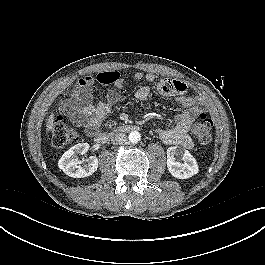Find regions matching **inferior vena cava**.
I'll list each match as a JSON object with an SVG mask.
<instances>
[{
    "mask_svg": "<svg viewBox=\"0 0 265 265\" xmlns=\"http://www.w3.org/2000/svg\"><path fill=\"white\" fill-rule=\"evenodd\" d=\"M113 145H123L127 143V136L124 133L115 134L112 138Z\"/></svg>",
    "mask_w": 265,
    "mask_h": 265,
    "instance_id": "inferior-vena-cava-1",
    "label": "inferior vena cava"
}]
</instances>
